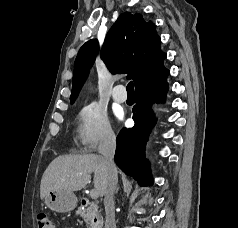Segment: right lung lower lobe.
I'll return each mask as SVG.
<instances>
[{"mask_svg":"<svg viewBox=\"0 0 238 228\" xmlns=\"http://www.w3.org/2000/svg\"><path fill=\"white\" fill-rule=\"evenodd\" d=\"M169 71L162 68L151 80L136 88V105L133 108L134 127L123 128L117 139L115 162L127 175L140 185H152L150 168L145 159V145L149 133L156 123L151 105L164 100L168 91Z\"/></svg>","mask_w":238,"mask_h":228,"instance_id":"98d812e1","label":"right lung lower lobe"}]
</instances>
